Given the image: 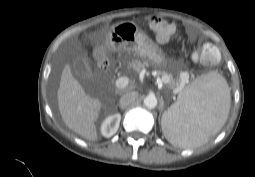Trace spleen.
<instances>
[{
  "label": "spleen",
  "instance_id": "3e777b00",
  "mask_svg": "<svg viewBox=\"0 0 255 177\" xmlns=\"http://www.w3.org/2000/svg\"><path fill=\"white\" fill-rule=\"evenodd\" d=\"M230 90L216 72L198 77L163 113L161 126L166 139L182 148L207 142L225 124L230 111Z\"/></svg>",
  "mask_w": 255,
  "mask_h": 177
}]
</instances>
